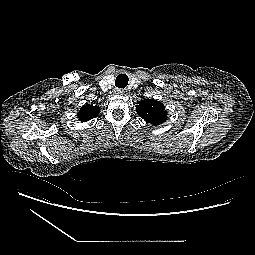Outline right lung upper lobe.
<instances>
[{"instance_id":"cb5924a9","label":"right lung upper lobe","mask_w":255,"mask_h":255,"mask_svg":"<svg viewBox=\"0 0 255 255\" xmlns=\"http://www.w3.org/2000/svg\"><path fill=\"white\" fill-rule=\"evenodd\" d=\"M100 109L98 106H93L91 104L84 105L78 112V118L81 122H87L98 116Z\"/></svg>"}]
</instances>
